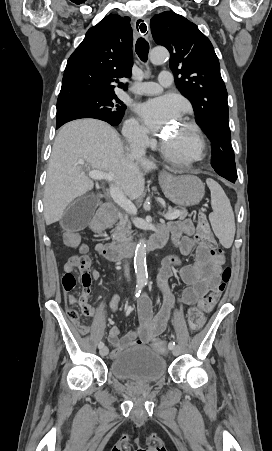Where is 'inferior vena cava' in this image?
I'll list each match as a JSON object with an SVG mask.
<instances>
[{
  "label": "inferior vena cava",
  "mask_w": 272,
  "mask_h": 451,
  "mask_svg": "<svg viewBox=\"0 0 272 451\" xmlns=\"http://www.w3.org/2000/svg\"><path fill=\"white\" fill-rule=\"evenodd\" d=\"M130 148L134 156H145L146 154V140L144 136H139V138H132L129 140ZM124 275L127 277V281H130V269L128 263L124 265Z\"/></svg>",
  "instance_id": "inferior-vena-cava-1"
}]
</instances>
